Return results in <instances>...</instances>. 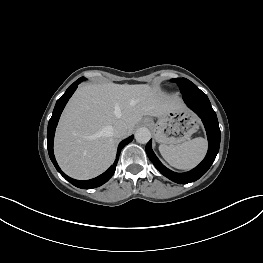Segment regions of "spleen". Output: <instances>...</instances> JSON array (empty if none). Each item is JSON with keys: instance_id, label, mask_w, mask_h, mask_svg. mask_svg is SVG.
<instances>
[{"instance_id": "spleen-1", "label": "spleen", "mask_w": 263, "mask_h": 263, "mask_svg": "<svg viewBox=\"0 0 263 263\" xmlns=\"http://www.w3.org/2000/svg\"><path fill=\"white\" fill-rule=\"evenodd\" d=\"M159 151L172 167L189 170L203 160L207 151V141L198 137L173 146L161 144Z\"/></svg>"}]
</instances>
